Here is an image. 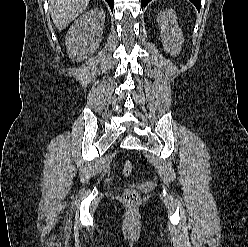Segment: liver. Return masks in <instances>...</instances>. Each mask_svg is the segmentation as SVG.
Returning a JSON list of instances; mask_svg holds the SVG:
<instances>
[{"mask_svg": "<svg viewBox=\"0 0 248 247\" xmlns=\"http://www.w3.org/2000/svg\"><path fill=\"white\" fill-rule=\"evenodd\" d=\"M90 0H49L52 20L58 30L65 29L88 6Z\"/></svg>", "mask_w": 248, "mask_h": 247, "instance_id": "obj_1", "label": "liver"}]
</instances>
